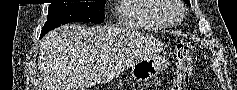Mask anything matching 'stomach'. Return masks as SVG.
<instances>
[{
	"label": "stomach",
	"mask_w": 237,
	"mask_h": 90,
	"mask_svg": "<svg viewBox=\"0 0 237 90\" xmlns=\"http://www.w3.org/2000/svg\"><path fill=\"white\" fill-rule=\"evenodd\" d=\"M166 67V61L162 57L143 60L132 66L126 81H148L156 77ZM129 79V80H128Z\"/></svg>",
	"instance_id": "0dacf381"
}]
</instances>
